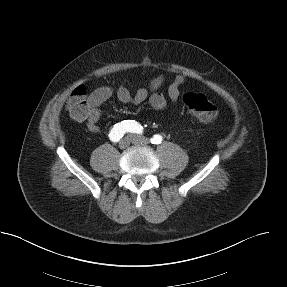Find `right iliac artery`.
<instances>
[{
    "label": "right iliac artery",
    "instance_id": "82829eb1",
    "mask_svg": "<svg viewBox=\"0 0 287 287\" xmlns=\"http://www.w3.org/2000/svg\"><path fill=\"white\" fill-rule=\"evenodd\" d=\"M134 124H135V121H130V120H125V121H122L121 123L115 124L109 133L110 140L113 142H118L124 136L125 133L127 132L133 133ZM138 125H139L138 134H140L142 133L143 128L142 126H140V124Z\"/></svg>",
    "mask_w": 287,
    "mask_h": 287
}]
</instances>
